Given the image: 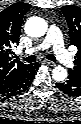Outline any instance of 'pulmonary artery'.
I'll return each mask as SVG.
<instances>
[{
  "mask_svg": "<svg viewBox=\"0 0 81 124\" xmlns=\"http://www.w3.org/2000/svg\"><path fill=\"white\" fill-rule=\"evenodd\" d=\"M50 46L53 47L57 59L66 66L73 65V58L65 49L62 34L56 26H51L40 45L30 50V52L42 51Z\"/></svg>",
  "mask_w": 81,
  "mask_h": 124,
  "instance_id": "e3ab8cb5",
  "label": "pulmonary artery"
}]
</instances>
